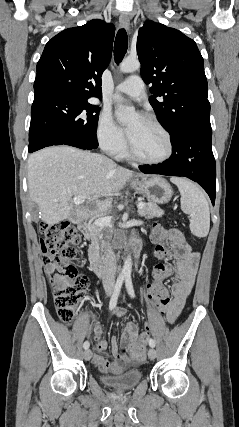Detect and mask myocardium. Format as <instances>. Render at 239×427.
I'll use <instances>...</instances> for the list:
<instances>
[{
    "mask_svg": "<svg viewBox=\"0 0 239 427\" xmlns=\"http://www.w3.org/2000/svg\"><path fill=\"white\" fill-rule=\"evenodd\" d=\"M142 119H144L145 121L149 122L150 124H152L153 126H155L157 129H159L165 136L166 140H167V145H168V149L166 154L156 160H149L146 158L141 157L140 155H138L129 139L127 141V154L128 156L133 159L134 161L144 164V165H150V166H156V165H160L163 164L165 162H167L173 155L174 153V143H173V138L171 133L168 131V129L162 124L160 123L156 118H154L153 116L149 115V114H144L141 116Z\"/></svg>",
    "mask_w": 239,
    "mask_h": 427,
    "instance_id": "f54148a6",
    "label": "myocardium"
}]
</instances>
